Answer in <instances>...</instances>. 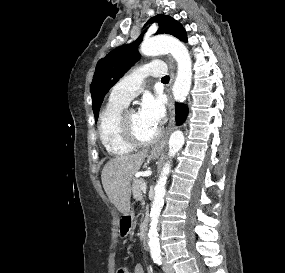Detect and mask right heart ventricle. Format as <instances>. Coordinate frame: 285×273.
Segmentation results:
<instances>
[{
  "label": "right heart ventricle",
  "instance_id": "obj_1",
  "mask_svg": "<svg viewBox=\"0 0 285 273\" xmlns=\"http://www.w3.org/2000/svg\"><path fill=\"white\" fill-rule=\"evenodd\" d=\"M125 106L122 102L109 101L99 117V139L106 151L116 156L126 155L134 149L121 137L119 130L120 115Z\"/></svg>",
  "mask_w": 285,
  "mask_h": 273
}]
</instances>
